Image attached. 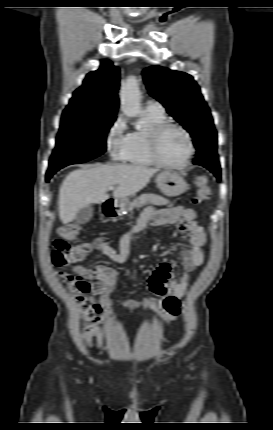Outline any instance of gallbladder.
Returning a JSON list of instances; mask_svg holds the SVG:
<instances>
[{"instance_id":"bac80fb5","label":"gallbladder","mask_w":273,"mask_h":430,"mask_svg":"<svg viewBox=\"0 0 273 430\" xmlns=\"http://www.w3.org/2000/svg\"><path fill=\"white\" fill-rule=\"evenodd\" d=\"M93 216V208L86 206L78 211L75 217V221L79 224L87 223Z\"/></svg>"}]
</instances>
